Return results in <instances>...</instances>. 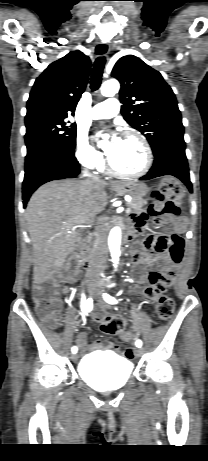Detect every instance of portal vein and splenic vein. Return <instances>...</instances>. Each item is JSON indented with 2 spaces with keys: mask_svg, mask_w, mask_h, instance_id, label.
<instances>
[{
  "mask_svg": "<svg viewBox=\"0 0 208 461\" xmlns=\"http://www.w3.org/2000/svg\"><path fill=\"white\" fill-rule=\"evenodd\" d=\"M126 201L129 202L130 200H129V199H126ZM126 212H130V209L128 208V209L126 210ZM88 222H90V221H88V220L85 221V223H88Z\"/></svg>",
  "mask_w": 208,
  "mask_h": 461,
  "instance_id": "portal-vein-and-splenic-vein-1",
  "label": "portal vein and splenic vein"
}]
</instances>
